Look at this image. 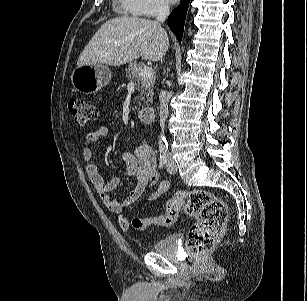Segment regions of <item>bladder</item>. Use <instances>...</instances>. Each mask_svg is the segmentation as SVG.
Wrapping results in <instances>:
<instances>
[{
	"instance_id": "bladder-1",
	"label": "bladder",
	"mask_w": 307,
	"mask_h": 301,
	"mask_svg": "<svg viewBox=\"0 0 307 301\" xmlns=\"http://www.w3.org/2000/svg\"><path fill=\"white\" fill-rule=\"evenodd\" d=\"M179 234H170L155 241L152 251L162 256L176 259L178 257Z\"/></svg>"
}]
</instances>
